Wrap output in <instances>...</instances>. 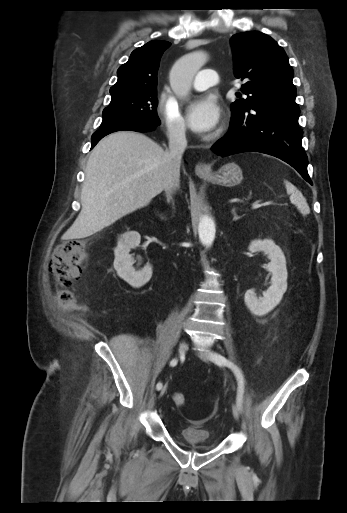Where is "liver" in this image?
I'll list each match as a JSON object with an SVG mask.
<instances>
[{
    "instance_id": "liver-1",
    "label": "liver",
    "mask_w": 347,
    "mask_h": 513,
    "mask_svg": "<svg viewBox=\"0 0 347 513\" xmlns=\"http://www.w3.org/2000/svg\"><path fill=\"white\" fill-rule=\"evenodd\" d=\"M179 176L169 168L167 152L144 134L118 131L93 148L85 170L81 211L64 239L85 238L123 216L147 206Z\"/></svg>"
}]
</instances>
